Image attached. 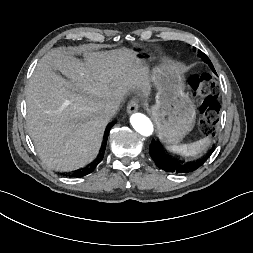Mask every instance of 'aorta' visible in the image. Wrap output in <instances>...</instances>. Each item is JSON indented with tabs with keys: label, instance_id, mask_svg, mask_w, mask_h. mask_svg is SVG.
<instances>
[{
	"label": "aorta",
	"instance_id": "aorta-1",
	"mask_svg": "<svg viewBox=\"0 0 253 253\" xmlns=\"http://www.w3.org/2000/svg\"><path fill=\"white\" fill-rule=\"evenodd\" d=\"M130 123L135 131L143 136L148 137L153 133L154 129L151 120L142 113L132 114L130 117Z\"/></svg>",
	"mask_w": 253,
	"mask_h": 253
}]
</instances>
